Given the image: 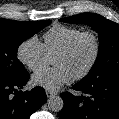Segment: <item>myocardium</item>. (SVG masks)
<instances>
[{"mask_svg": "<svg viewBox=\"0 0 119 119\" xmlns=\"http://www.w3.org/2000/svg\"><path fill=\"white\" fill-rule=\"evenodd\" d=\"M83 37H89L93 42V55L88 65L79 74L73 76L74 80L85 78L94 68L100 54V41L98 36L92 31H81L76 34L55 56L67 55L72 52L78 41Z\"/></svg>", "mask_w": 119, "mask_h": 119, "instance_id": "obj_1", "label": "myocardium"}]
</instances>
